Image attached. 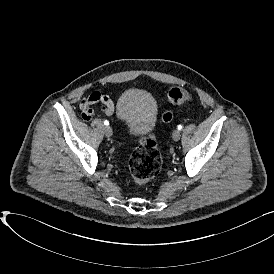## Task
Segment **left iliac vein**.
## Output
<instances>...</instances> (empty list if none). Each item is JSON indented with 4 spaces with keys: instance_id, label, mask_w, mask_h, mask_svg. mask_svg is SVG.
Returning a JSON list of instances; mask_svg holds the SVG:
<instances>
[{
    "instance_id": "4c4485c4",
    "label": "left iliac vein",
    "mask_w": 274,
    "mask_h": 274,
    "mask_svg": "<svg viewBox=\"0 0 274 274\" xmlns=\"http://www.w3.org/2000/svg\"><path fill=\"white\" fill-rule=\"evenodd\" d=\"M180 137H181V133L179 130L173 131V133H172L173 140L178 141L180 139Z\"/></svg>"
}]
</instances>
